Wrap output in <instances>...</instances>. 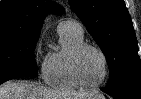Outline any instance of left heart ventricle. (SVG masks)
<instances>
[{
    "label": "left heart ventricle",
    "mask_w": 141,
    "mask_h": 99,
    "mask_svg": "<svg viewBox=\"0 0 141 99\" xmlns=\"http://www.w3.org/2000/svg\"><path fill=\"white\" fill-rule=\"evenodd\" d=\"M80 72L83 80L89 84L99 82L104 75V62L98 52L93 49L84 51L80 58Z\"/></svg>",
    "instance_id": "left-heart-ventricle-1"
}]
</instances>
